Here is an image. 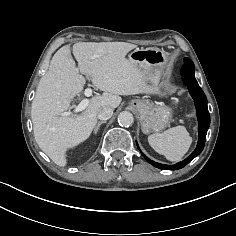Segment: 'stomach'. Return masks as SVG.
Listing matches in <instances>:
<instances>
[{"instance_id": "stomach-1", "label": "stomach", "mask_w": 236, "mask_h": 236, "mask_svg": "<svg viewBox=\"0 0 236 236\" xmlns=\"http://www.w3.org/2000/svg\"><path fill=\"white\" fill-rule=\"evenodd\" d=\"M128 59L152 76H154L166 62L165 54L153 48H137L129 55ZM173 100L175 103L178 102L177 98ZM131 105L138 113L144 133L159 132L163 130L171 120L172 109L164 104H154L144 100H133Z\"/></svg>"}]
</instances>
